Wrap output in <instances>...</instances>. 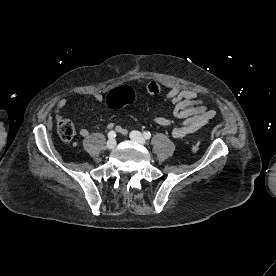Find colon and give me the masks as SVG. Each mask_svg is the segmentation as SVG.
Instances as JSON below:
<instances>
[{"label":"colon","instance_id":"colon-1","mask_svg":"<svg viewBox=\"0 0 276 276\" xmlns=\"http://www.w3.org/2000/svg\"><path fill=\"white\" fill-rule=\"evenodd\" d=\"M135 99V91L130 87L113 90L107 95V104L110 107H120L124 104L131 103ZM56 128L60 138L65 142H70L75 136V127L72 122L60 113L56 114ZM200 148L199 142H194L191 145V151L197 152Z\"/></svg>","mask_w":276,"mask_h":276}]
</instances>
